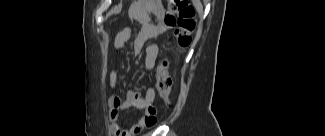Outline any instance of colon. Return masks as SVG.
<instances>
[{
    "label": "colon",
    "mask_w": 325,
    "mask_h": 136,
    "mask_svg": "<svg viewBox=\"0 0 325 136\" xmlns=\"http://www.w3.org/2000/svg\"><path fill=\"white\" fill-rule=\"evenodd\" d=\"M165 26L172 29L175 41L181 47L191 43V33L195 30V10L187 0H169L168 11L164 20ZM156 87L160 97L168 101L173 88V79L163 60L156 71Z\"/></svg>",
    "instance_id": "colon-1"
}]
</instances>
